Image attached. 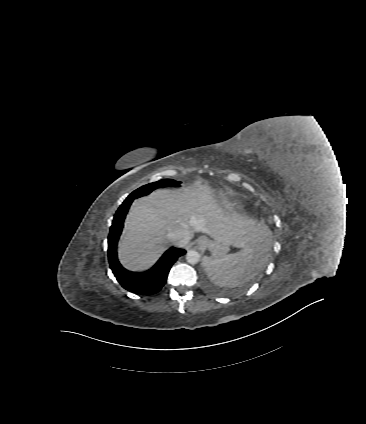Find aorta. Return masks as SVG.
<instances>
[{
    "instance_id": "aorta-1",
    "label": "aorta",
    "mask_w": 366,
    "mask_h": 424,
    "mask_svg": "<svg viewBox=\"0 0 366 424\" xmlns=\"http://www.w3.org/2000/svg\"><path fill=\"white\" fill-rule=\"evenodd\" d=\"M186 260L189 264L195 265L200 261V254L196 250H190L186 254Z\"/></svg>"
}]
</instances>
